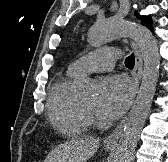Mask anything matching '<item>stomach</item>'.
<instances>
[{
	"label": "stomach",
	"instance_id": "obj_1",
	"mask_svg": "<svg viewBox=\"0 0 168 162\" xmlns=\"http://www.w3.org/2000/svg\"><path fill=\"white\" fill-rule=\"evenodd\" d=\"M106 147V149H112L113 148V146H105Z\"/></svg>",
	"mask_w": 168,
	"mask_h": 162
}]
</instances>
